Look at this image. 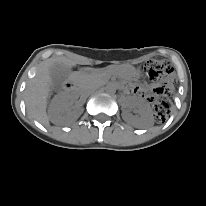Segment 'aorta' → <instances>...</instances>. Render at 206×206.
<instances>
[{"label":"aorta","mask_w":206,"mask_h":206,"mask_svg":"<svg viewBox=\"0 0 206 206\" xmlns=\"http://www.w3.org/2000/svg\"><path fill=\"white\" fill-rule=\"evenodd\" d=\"M106 92L109 94H114L116 92V86L113 84H108L106 86Z\"/></svg>","instance_id":"obj_1"}]
</instances>
